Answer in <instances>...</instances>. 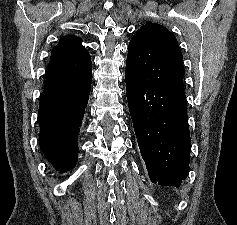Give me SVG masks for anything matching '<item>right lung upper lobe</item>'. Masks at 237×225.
<instances>
[{
	"label": "right lung upper lobe",
	"instance_id": "1",
	"mask_svg": "<svg viewBox=\"0 0 237 225\" xmlns=\"http://www.w3.org/2000/svg\"><path fill=\"white\" fill-rule=\"evenodd\" d=\"M92 79L91 56L76 36H63L51 52L45 91L75 89Z\"/></svg>",
	"mask_w": 237,
	"mask_h": 225
}]
</instances>
